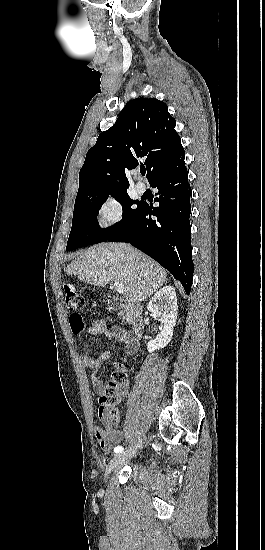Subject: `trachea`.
Wrapping results in <instances>:
<instances>
[{
  "label": "trachea",
  "instance_id": "obj_1",
  "mask_svg": "<svg viewBox=\"0 0 265 550\" xmlns=\"http://www.w3.org/2000/svg\"><path fill=\"white\" fill-rule=\"evenodd\" d=\"M140 173H141L142 175H145L146 169H145V168L140 169Z\"/></svg>",
  "mask_w": 265,
  "mask_h": 550
}]
</instances>
